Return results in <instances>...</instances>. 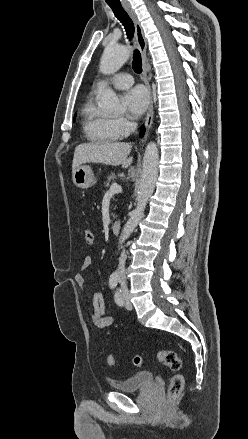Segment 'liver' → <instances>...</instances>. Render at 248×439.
<instances>
[{
  "mask_svg": "<svg viewBox=\"0 0 248 439\" xmlns=\"http://www.w3.org/2000/svg\"><path fill=\"white\" fill-rule=\"evenodd\" d=\"M131 144L124 142L83 143L76 147L72 163V173L82 164L101 163L128 168L133 158H128Z\"/></svg>",
  "mask_w": 248,
  "mask_h": 439,
  "instance_id": "obj_1",
  "label": "liver"
}]
</instances>
